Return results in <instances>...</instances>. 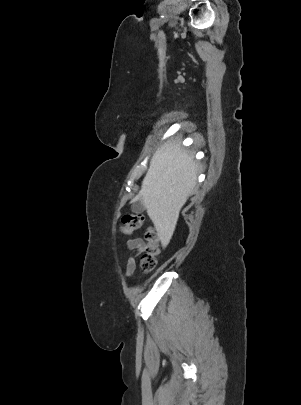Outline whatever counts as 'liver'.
Segmentation results:
<instances>
[{"label":"liver","mask_w":301,"mask_h":405,"mask_svg":"<svg viewBox=\"0 0 301 405\" xmlns=\"http://www.w3.org/2000/svg\"><path fill=\"white\" fill-rule=\"evenodd\" d=\"M197 167L180 140H167L153 154L141 190L133 199L144 204L163 246L170 242L180 210L196 186Z\"/></svg>","instance_id":"liver-1"}]
</instances>
